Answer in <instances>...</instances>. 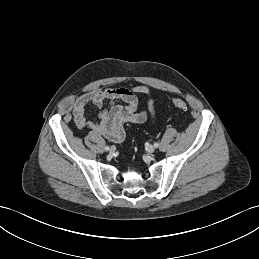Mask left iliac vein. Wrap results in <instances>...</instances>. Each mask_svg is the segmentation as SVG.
I'll return each instance as SVG.
<instances>
[{"label": "left iliac vein", "instance_id": "4c4485c4", "mask_svg": "<svg viewBox=\"0 0 259 259\" xmlns=\"http://www.w3.org/2000/svg\"><path fill=\"white\" fill-rule=\"evenodd\" d=\"M148 153H153L155 151V146L149 145L147 148Z\"/></svg>", "mask_w": 259, "mask_h": 259}]
</instances>
